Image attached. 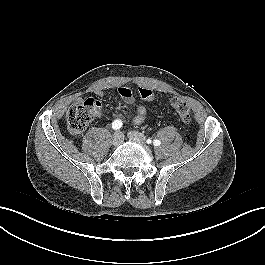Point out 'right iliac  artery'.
I'll use <instances>...</instances> for the list:
<instances>
[{"instance_id":"obj_1","label":"right iliac artery","mask_w":265,"mask_h":265,"mask_svg":"<svg viewBox=\"0 0 265 265\" xmlns=\"http://www.w3.org/2000/svg\"><path fill=\"white\" fill-rule=\"evenodd\" d=\"M122 127V121L121 120H115L112 122V128L114 130H118Z\"/></svg>"}]
</instances>
